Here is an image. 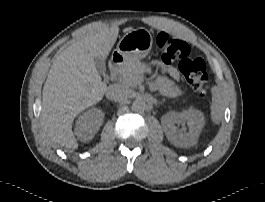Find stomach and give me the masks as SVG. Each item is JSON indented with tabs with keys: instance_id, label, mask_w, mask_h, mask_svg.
I'll return each instance as SVG.
<instances>
[{
	"instance_id": "stomach-1",
	"label": "stomach",
	"mask_w": 265,
	"mask_h": 202,
	"mask_svg": "<svg viewBox=\"0 0 265 202\" xmlns=\"http://www.w3.org/2000/svg\"><path fill=\"white\" fill-rule=\"evenodd\" d=\"M153 37L144 28L134 29L126 33L118 42L116 52L124 60H139L145 58L152 49Z\"/></svg>"
}]
</instances>
